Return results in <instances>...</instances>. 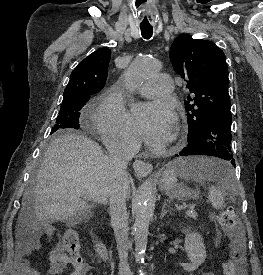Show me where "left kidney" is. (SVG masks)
Masks as SVG:
<instances>
[{
  "label": "left kidney",
  "mask_w": 263,
  "mask_h": 275,
  "mask_svg": "<svg viewBox=\"0 0 263 275\" xmlns=\"http://www.w3.org/2000/svg\"><path fill=\"white\" fill-rule=\"evenodd\" d=\"M185 244L184 250L189 257L190 263H181L182 268L191 272L196 270L206 259V249L202 236L197 232L184 229Z\"/></svg>",
  "instance_id": "left-kidney-1"
}]
</instances>
